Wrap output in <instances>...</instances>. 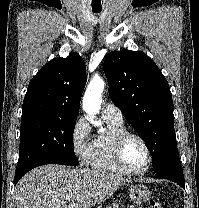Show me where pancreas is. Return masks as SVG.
Instances as JSON below:
<instances>
[{
  "mask_svg": "<svg viewBox=\"0 0 199 208\" xmlns=\"http://www.w3.org/2000/svg\"><path fill=\"white\" fill-rule=\"evenodd\" d=\"M106 208H119L117 204H113L112 206H107ZM132 208V207H131Z\"/></svg>",
  "mask_w": 199,
  "mask_h": 208,
  "instance_id": "pancreas-1",
  "label": "pancreas"
}]
</instances>
